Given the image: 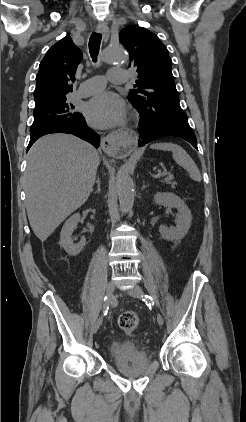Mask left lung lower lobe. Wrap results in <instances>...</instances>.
I'll return each mask as SVG.
<instances>
[{"label":"left lung lower lobe","instance_id":"obj_1","mask_svg":"<svg viewBox=\"0 0 246 422\" xmlns=\"http://www.w3.org/2000/svg\"><path fill=\"white\" fill-rule=\"evenodd\" d=\"M174 136L191 143L197 150V140L187 120H162L148 124L142 118L139 127V147L161 137Z\"/></svg>","mask_w":246,"mask_h":422}]
</instances>
